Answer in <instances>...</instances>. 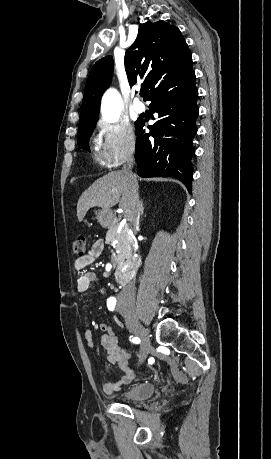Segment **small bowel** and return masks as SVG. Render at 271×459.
Masks as SVG:
<instances>
[{
    "mask_svg": "<svg viewBox=\"0 0 271 459\" xmlns=\"http://www.w3.org/2000/svg\"><path fill=\"white\" fill-rule=\"evenodd\" d=\"M104 248V241L97 240L90 250L76 259L74 267L78 271H82L87 266L92 264L102 253ZM97 275L94 272L84 271L77 279V290L78 292H86L90 289L91 284L97 281ZM103 294L104 290H100ZM99 329L103 332L101 337V345L106 351V361L109 364L117 365L121 371V376L113 382H107L102 387L104 395H112L113 393L122 389L125 385L130 383L134 378V372L129 367L130 356L124 353L119 346L118 337L111 333L109 325L105 322L99 323ZM85 340L90 347L94 345V339L92 332L86 330L84 333Z\"/></svg>",
    "mask_w": 271,
    "mask_h": 459,
    "instance_id": "c3829d8e",
    "label": "small bowel"
}]
</instances>
